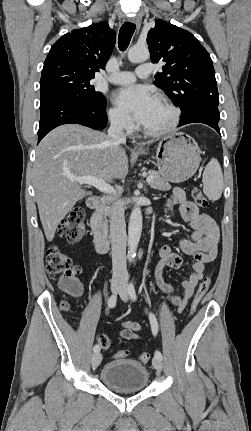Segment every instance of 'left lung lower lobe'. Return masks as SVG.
<instances>
[{"mask_svg":"<svg viewBox=\"0 0 251 431\" xmlns=\"http://www.w3.org/2000/svg\"><path fill=\"white\" fill-rule=\"evenodd\" d=\"M219 119L218 108L201 107L181 118L179 126L189 123H204L213 127L220 134L218 127Z\"/></svg>","mask_w":251,"mask_h":431,"instance_id":"obj_1","label":"left lung lower lobe"}]
</instances>
